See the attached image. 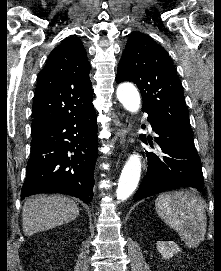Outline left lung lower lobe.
Wrapping results in <instances>:
<instances>
[{
  "instance_id": "left-lung-lower-lobe-1",
  "label": "left lung lower lobe",
  "mask_w": 221,
  "mask_h": 271,
  "mask_svg": "<svg viewBox=\"0 0 221 271\" xmlns=\"http://www.w3.org/2000/svg\"><path fill=\"white\" fill-rule=\"evenodd\" d=\"M148 120L157 134L154 140L165 155L146 152L147 174L134 195V201L180 187H193L200 191L203 174L193 137L153 116L149 115ZM140 138L146 143L145 135ZM152 139L148 137L151 145Z\"/></svg>"
}]
</instances>
